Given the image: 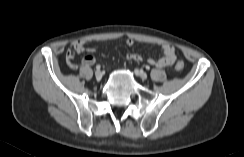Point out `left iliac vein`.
I'll return each instance as SVG.
<instances>
[{
  "label": "left iliac vein",
  "instance_id": "1",
  "mask_svg": "<svg viewBox=\"0 0 244 157\" xmlns=\"http://www.w3.org/2000/svg\"><path fill=\"white\" fill-rule=\"evenodd\" d=\"M135 73L143 80L147 78V74L143 70L136 69Z\"/></svg>",
  "mask_w": 244,
  "mask_h": 157
}]
</instances>
